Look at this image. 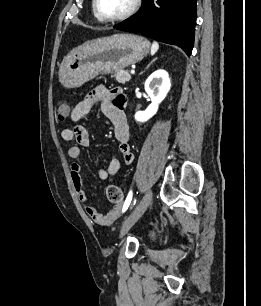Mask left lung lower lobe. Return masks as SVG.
Wrapping results in <instances>:
<instances>
[{
    "instance_id": "0a47b994",
    "label": "left lung lower lobe",
    "mask_w": 261,
    "mask_h": 306,
    "mask_svg": "<svg viewBox=\"0 0 261 306\" xmlns=\"http://www.w3.org/2000/svg\"><path fill=\"white\" fill-rule=\"evenodd\" d=\"M196 0H143L138 13L114 26L181 47L191 54L194 44Z\"/></svg>"
}]
</instances>
